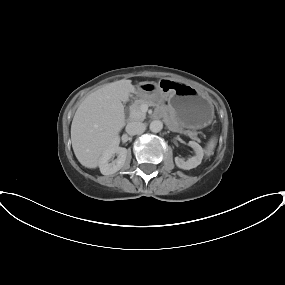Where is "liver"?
Instances as JSON below:
<instances>
[{
    "mask_svg": "<svg viewBox=\"0 0 285 285\" xmlns=\"http://www.w3.org/2000/svg\"><path fill=\"white\" fill-rule=\"evenodd\" d=\"M131 80L122 79L89 94L79 105L71 125V141L78 161L87 168H96L102 153L125 125L123 103L136 88ZM146 82H141L143 84ZM123 102V103H122Z\"/></svg>",
    "mask_w": 285,
    "mask_h": 285,
    "instance_id": "1",
    "label": "liver"
}]
</instances>
